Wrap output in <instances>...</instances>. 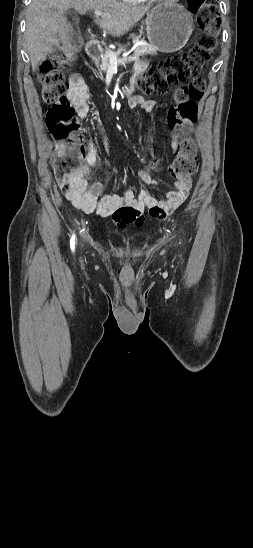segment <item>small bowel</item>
Masks as SVG:
<instances>
[{"label": "small bowel", "mask_w": 253, "mask_h": 548, "mask_svg": "<svg viewBox=\"0 0 253 548\" xmlns=\"http://www.w3.org/2000/svg\"><path fill=\"white\" fill-rule=\"evenodd\" d=\"M146 68L145 62L136 65V74H141ZM67 98L75 107L80 118L88 113V100L90 92L85 79L78 73L69 77V89ZM128 104L131 108L141 107L145 111L155 109L157 103L153 99L145 98L143 95H133L129 98ZM96 116V114H95ZM179 138L174 135L171 140V149L175 153ZM104 150L110 157L109 144L103 138ZM98 162V151L92 140L88 141L86 156L82 159L78 170L72 175L68 184L63 186L60 182L64 195L71 204L85 213L96 212L108 217L114 215V220L119 226L130 223L140 225L143 221L142 213L148 210L149 214L156 219H163L167 214L178 208L188 197L191 189V179L176 175V190L169 192L164 200H158L146 189L135 194L132 190H126L122 195H102L104 186L101 182L88 185V177L92 168ZM139 179L146 185H156L148 172L140 170Z\"/></svg>", "instance_id": "1"}]
</instances>
